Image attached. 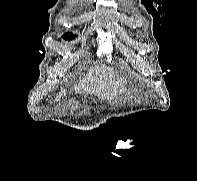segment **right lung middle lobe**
Returning <instances> with one entry per match:
<instances>
[{"label": "right lung middle lobe", "instance_id": "obj_1", "mask_svg": "<svg viewBox=\"0 0 197 181\" xmlns=\"http://www.w3.org/2000/svg\"><path fill=\"white\" fill-rule=\"evenodd\" d=\"M63 38L66 39V40H72L74 38V34L73 33H65L63 35Z\"/></svg>", "mask_w": 197, "mask_h": 181}]
</instances>
